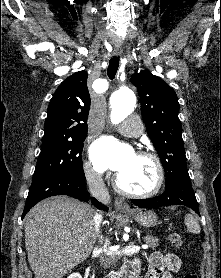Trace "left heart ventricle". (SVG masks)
<instances>
[{"mask_svg": "<svg viewBox=\"0 0 221 278\" xmlns=\"http://www.w3.org/2000/svg\"><path fill=\"white\" fill-rule=\"evenodd\" d=\"M118 178L125 189L145 192L156 184L157 169L150 158L134 154L127 166L118 173Z\"/></svg>", "mask_w": 221, "mask_h": 278, "instance_id": "obj_1", "label": "left heart ventricle"}]
</instances>
